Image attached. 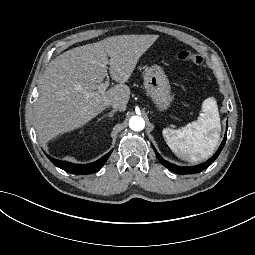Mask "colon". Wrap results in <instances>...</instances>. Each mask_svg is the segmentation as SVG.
<instances>
[{
	"mask_svg": "<svg viewBox=\"0 0 255 255\" xmlns=\"http://www.w3.org/2000/svg\"><path fill=\"white\" fill-rule=\"evenodd\" d=\"M177 58L182 61L191 62L200 68L203 67V65H204L203 58L193 52H190V51H186V50L180 51L177 54Z\"/></svg>",
	"mask_w": 255,
	"mask_h": 255,
	"instance_id": "obj_1",
	"label": "colon"
}]
</instances>
